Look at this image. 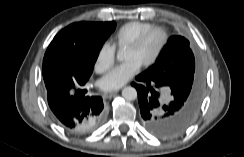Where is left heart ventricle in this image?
I'll use <instances>...</instances> for the list:
<instances>
[{
  "label": "left heart ventricle",
  "instance_id": "obj_1",
  "mask_svg": "<svg viewBox=\"0 0 244 157\" xmlns=\"http://www.w3.org/2000/svg\"><path fill=\"white\" fill-rule=\"evenodd\" d=\"M162 42V35L158 32L151 34L145 42L137 49H126L124 60H135L140 65H143L151 59L157 52Z\"/></svg>",
  "mask_w": 244,
  "mask_h": 157
}]
</instances>
